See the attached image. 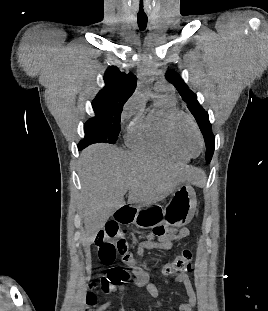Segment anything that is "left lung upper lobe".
<instances>
[{
	"instance_id": "left-lung-upper-lobe-1",
	"label": "left lung upper lobe",
	"mask_w": 268,
	"mask_h": 311,
	"mask_svg": "<svg viewBox=\"0 0 268 311\" xmlns=\"http://www.w3.org/2000/svg\"><path fill=\"white\" fill-rule=\"evenodd\" d=\"M166 79L175 86L182 99L187 103L188 109L196 119V122L204 137L206 145V161L209 163L214 152L215 137L212 133L208 113L197 101L196 94L189 89L177 72L174 70H168L166 72Z\"/></svg>"
}]
</instances>
